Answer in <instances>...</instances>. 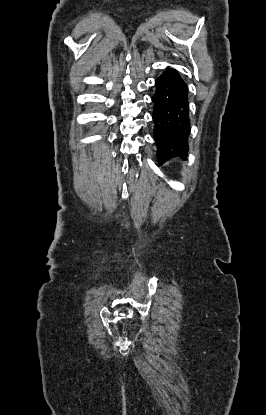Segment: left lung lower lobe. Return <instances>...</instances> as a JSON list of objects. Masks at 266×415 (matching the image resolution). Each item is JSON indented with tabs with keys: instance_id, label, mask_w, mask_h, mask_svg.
<instances>
[{
	"instance_id": "left-lung-lower-lobe-1",
	"label": "left lung lower lobe",
	"mask_w": 266,
	"mask_h": 415,
	"mask_svg": "<svg viewBox=\"0 0 266 415\" xmlns=\"http://www.w3.org/2000/svg\"><path fill=\"white\" fill-rule=\"evenodd\" d=\"M188 94V86L176 69L167 68L156 80L152 102L159 164L172 157H186L190 133Z\"/></svg>"
}]
</instances>
